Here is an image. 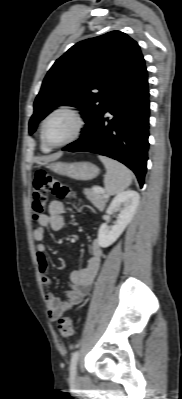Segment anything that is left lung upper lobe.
Wrapping results in <instances>:
<instances>
[{"label": "left lung upper lobe", "mask_w": 182, "mask_h": 399, "mask_svg": "<svg viewBox=\"0 0 182 399\" xmlns=\"http://www.w3.org/2000/svg\"><path fill=\"white\" fill-rule=\"evenodd\" d=\"M145 65L136 41L120 31L81 41L56 60L42 83L29 122L37 123L57 106L81 109L82 135L104 111L112 95Z\"/></svg>", "instance_id": "left-lung-upper-lobe-1"}]
</instances>
